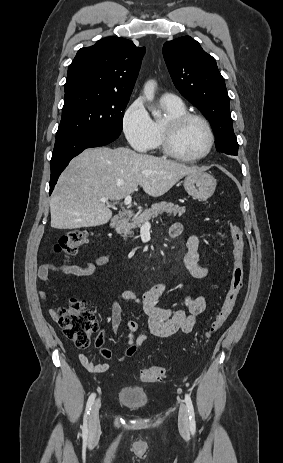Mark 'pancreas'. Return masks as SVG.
<instances>
[{"instance_id":"1","label":"pancreas","mask_w":283,"mask_h":463,"mask_svg":"<svg viewBox=\"0 0 283 463\" xmlns=\"http://www.w3.org/2000/svg\"><path fill=\"white\" fill-rule=\"evenodd\" d=\"M167 213L168 216H181L185 213V207H180L172 202L155 203L150 209L144 210L139 216L133 218L132 222L123 224L119 233L122 234L124 239L131 237L134 234L133 229L141 227L144 223L157 217L159 214Z\"/></svg>"}]
</instances>
